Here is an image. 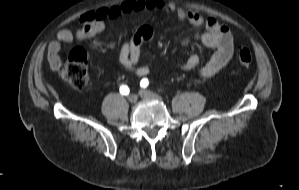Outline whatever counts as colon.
Segmentation results:
<instances>
[{
	"label": "colon",
	"mask_w": 299,
	"mask_h": 190,
	"mask_svg": "<svg viewBox=\"0 0 299 190\" xmlns=\"http://www.w3.org/2000/svg\"><path fill=\"white\" fill-rule=\"evenodd\" d=\"M237 60L241 67L247 68L251 65L252 54L247 48H239ZM60 77L70 83L74 88L83 90L88 87L90 79L87 67V54L79 47L72 49L67 60L59 69Z\"/></svg>",
	"instance_id": "obj_1"
}]
</instances>
